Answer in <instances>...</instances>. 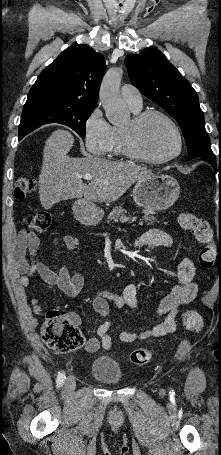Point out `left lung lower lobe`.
<instances>
[{
    "mask_svg": "<svg viewBox=\"0 0 221 455\" xmlns=\"http://www.w3.org/2000/svg\"><path fill=\"white\" fill-rule=\"evenodd\" d=\"M199 159L208 162L214 168V170L216 172L219 168V172L221 173V162H219V167H218V163L216 162L215 157H200Z\"/></svg>",
    "mask_w": 221,
    "mask_h": 455,
    "instance_id": "1",
    "label": "left lung lower lobe"
}]
</instances>
